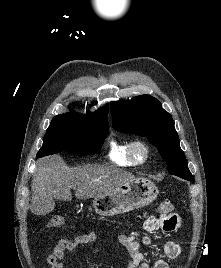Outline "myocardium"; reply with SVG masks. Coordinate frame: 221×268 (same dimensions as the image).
Returning a JSON list of instances; mask_svg holds the SVG:
<instances>
[{
	"label": "myocardium",
	"instance_id": "1",
	"mask_svg": "<svg viewBox=\"0 0 221 268\" xmlns=\"http://www.w3.org/2000/svg\"><path fill=\"white\" fill-rule=\"evenodd\" d=\"M138 149H141L143 151V156L142 158H138L136 156V151ZM151 150L147 142L144 140H133L129 143L128 146V155L130 160L135 164V165H143L145 164L149 158H150Z\"/></svg>",
	"mask_w": 221,
	"mask_h": 268
}]
</instances>
